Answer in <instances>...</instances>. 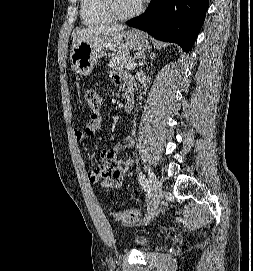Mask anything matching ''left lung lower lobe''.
<instances>
[{"mask_svg":"<svg viewBox=\"0 0 253 271\" xmlns=\"http://www.w3.org/2000/svg\"><path fill=\"white\" fill-rule=\"evenodd\" d=\"M209 0H152L147 11L128 21L156 39L177 43L189 52L201 29Z\"/></svg>","mask_w":253,"mask_h":271,"instance_id":"obj_1","label":"left lung lower lobe"}]
</instances>
